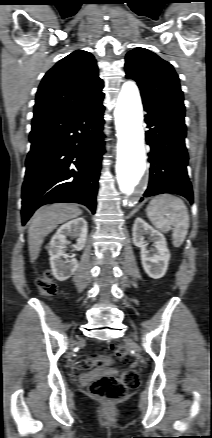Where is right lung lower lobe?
Here are the masks:
<instances>
[{"label":"right lung lower lobe","instance_id":"right-lung-lower-lobe-1","mask_svg":"<svg viewBox=\"0 0 212 438\" xmlns=\"http://www.w3.org/2000/svg\"><path fill=\"white\" fill-rule=\"evenodd\" d=\"M104 106L34 118L22 187V223L48 203L67 202L96 209L104 150Z\"/></svg>","mask_w":212,"mask_h":438}]
</instances>
